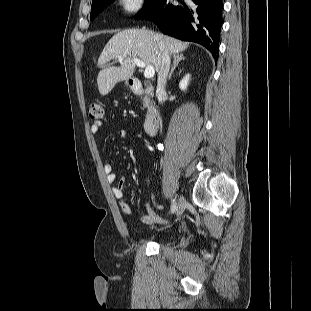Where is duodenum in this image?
<instances>
[{"instance_id":"410a0bca","label":"duodenum","mask_w":311,"mask_h":311,"mask_svg":"<svg viewBox=\"0 0 311 311\" xmlns=\"http://www.w3.org/2000/svg\"><path fill=\"white\" fill-rule=\"evenodd\" d=\"M131 90L137 94H152L154 92V87L147 86L143 87L142 83L137 78H130L128 80ZM160 121V111L157 107L150 105L147 110V114L144 122L145 133L149 136L155 134Z\"/></svg>"}]
</instances>
